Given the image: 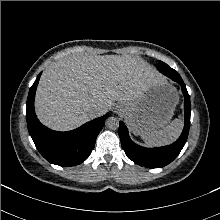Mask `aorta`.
<instances>
[{
    "instance_id": "1",
    "label": "aorta",
    "mask_w": 220,
    "mask_h": 220,
    "mask_svg": "<svg viewBox=\"0 0 220 220\" xmlns=\"http://www.w3.org/2000/svg\"><path fill=\"white\" fill-rule=\"evenodd\" d=\"M106 126L111 130H116L119 127V120L116 117H109Z\"/></svg>"
}]
</instances>
